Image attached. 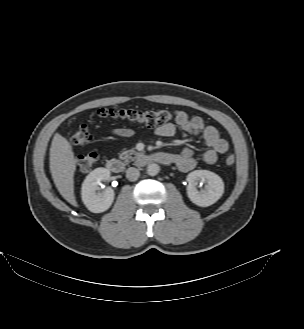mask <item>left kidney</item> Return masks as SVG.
I'll return each instance as SVG.
<instances>
[{
  "instance_id": "5707ae66",
  "label": "left kidney",
  "mask_w": 304,
  "mask_h": 329,
  "mask_svg": "<svg viewBox=\"0 0 304 329\" xmlns=\"http://www.w3.org/2000/svg\"><path fill=\"white\" fill-rule=\"evenodd\" d=\"M189 183L187 194L189 199L196 205L207 207L217 202L224 193V182L215 173L208 170H195L187 175ZM199 181H207L206 189L199 192L196 185Z\"/></svg>"
}]
</instances>
